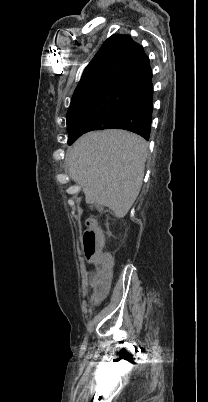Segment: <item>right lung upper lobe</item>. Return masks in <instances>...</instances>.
<instances>
[{
    "mask_svg": "<svg viewBox=\"0 0 208 402\" xmlns=\"http://www.w3.org/2000/svg\"><path fill=\"white\" fill-rule=\"evenodd\" d=\"M141 48L142 46L128 35L117 34L109 37L84 69L73 97L100 84H111Z\"/></svg>",
    "mask_w": 208,
    "mask_h": 402,
    "instance_id": "obj_1",
    "label": "right lung upper lobe"
}]
</instances>
